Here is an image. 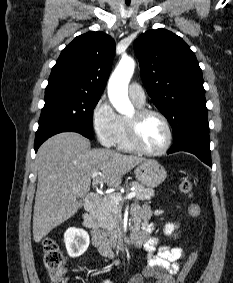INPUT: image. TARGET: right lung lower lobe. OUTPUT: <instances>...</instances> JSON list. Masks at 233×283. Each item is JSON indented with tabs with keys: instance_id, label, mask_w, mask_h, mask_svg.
Listing matches in <instances>:
<instances>
[{
	"instance_id": "obj_1",
	"label": "right lung lower lobe",
	"mask_w": 233,
	"mask_h": 283,
	"mask_svg": "<svg viewBox=\"0 0 233 283\" xmlns=\"http://www.w3.org/2000/svg\"><path fill=\"white\" fill-rule=\"evenodd\" d=\"M67 131H73V132H78L80 134H82L83 136L92 139V132L70 125V124H53V125H49L46 126L42 129H38V131L36 132V136H35V145H34V149L35 152H37L38 148L40 147V145L47 140L49 137L58 134L60 132H67Z\"/></svg>"
}]
</instances>
